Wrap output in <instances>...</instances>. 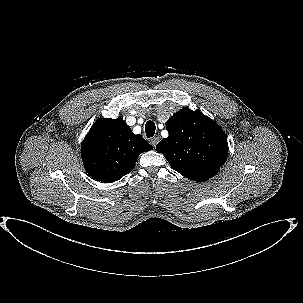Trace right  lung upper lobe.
Here are the masks:
<instances>
[{
	"instance_id": "right-lung-upper-lobe-1",
	"label": "right lung upper lobe",
	"mask_w": 303,
	"mask_h": 303,
	"mask_svg": "<svg viewBox=\"0 0 303 303\" xmlns=\"http://www.w3.org/2000/svg\"><path fill=\"white\" fill-rule=\"evenodd\" d=\"M152 149L120 117L102 118L93 125L83 141L82 159L91 177L104 183H112L135 167L140 153Z\"/></svg>"
}]
</instances>
